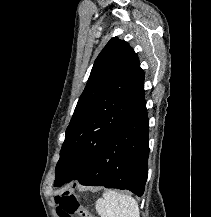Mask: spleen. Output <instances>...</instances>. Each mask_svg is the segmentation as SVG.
<instances>
[{
    "label": "spleen",
    "mask_w": 211,
    "mask_h": 217,
    "mask_svg": "<svg viewBox=\"0 0 211 217\" xmlns=\"http://www.w3.org/2000/svg\"><path fill=\"white\" fill-rule=\"evenodd\" d=\"M96 210L101 217H140L138 203L132 196L112 190L96 202Z\"/></svg>",
    "instance_id": "3e777b00"
}]
</instances>
